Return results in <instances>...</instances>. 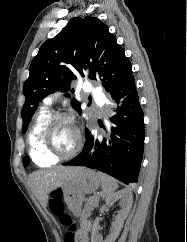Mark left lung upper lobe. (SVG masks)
Segmentation results:
<instances>
[{
	"mask_svg": "<svg viewBox=\"0 0 187 242\" xmlns=\"http://www.w3.org/2000/svg\"><path fill=\"white\" fill-rule=\"evenodd\" d=\"M132 73L130 60L107 25L90 16L71 19L59 34L41 46L31 62L23 87V133L39 102L57 89L68 91L71 81L78 76L98 80L111 92ZM71 104L81 113L76 99ZM88 132L86 128L85 133ZM24 161L28 163L29 159Z\"/></svg>",
	"mask_w": 187,
	"mask_h": 242,
	"instance_id": "1",
	"label": "left lung upper lobe"
}]
</instances>
